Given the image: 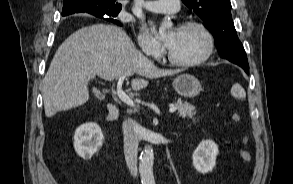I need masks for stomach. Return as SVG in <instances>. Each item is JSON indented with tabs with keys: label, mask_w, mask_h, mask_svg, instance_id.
I'll return each mask as SVG.
<instances>
[{
	"label": "stomach",
	"mask_w": 293,
	"mask_h": 184,
	"mask_svg": "<svg viewBox=\"0 0 293 184\" xmlns=\"http://www.w3.org/2000/svg\"><path fill=\"white\" fill-rule=\"evenodd\" d=\"M173 87L179 95L186 98L196 97L201 91L200 81L190 74H182L175 78Z\"/></svg>",
	"instance_id": "0dacf381"
}]
</instances>
